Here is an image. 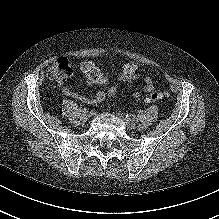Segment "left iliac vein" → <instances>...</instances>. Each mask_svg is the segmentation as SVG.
<instances>
[{"label":"left iliac vein","mask_w":219,"mask_h":219,"mask_svg":"<svg viewBox=\"0 0 219 219\" xmlns=\"http://www.w3.org/2000/svg\"><path fill=\"white\" fill-rule=\"evenodd\" d=\"M120 117L124 120V122L126 123L128 129H130V130L135 129L136 125H135V123L133 122V120L128 119V118H126V117H123L122 115H120Z\"/></svg>","instance_id":"left-iliac-vein-1"}]
</instances>
